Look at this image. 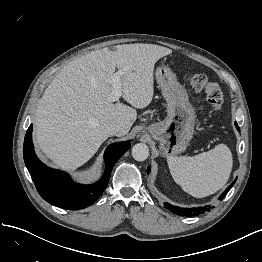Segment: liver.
<instances>
[{"instance_id": "obj_1", "label": "liver", "mask_w": 262, "mask_h": 262, "mask_svg": "<svg viewBox=\"0 0 262 262\" xmlns=\"http://www.w3.org/2000/svg\"><path fill=\"white\" fill-rule=\"evenodd\" d=\"M172 50L154 44H123L115 51H92L68 63L40 99L34 119L39 149L64 170L85 164L109 137L105 127L117 124L126 135L154 94L155 63ZM121 76L122 98L110 101L115 70Z\"/></svg>"}]
</instances>
